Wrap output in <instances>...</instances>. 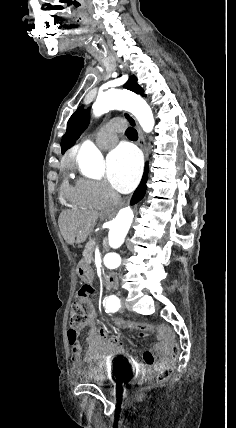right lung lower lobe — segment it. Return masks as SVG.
Wrapping results in <instances>:
<instances>
[{
  "instance_id": "right-lung-lower-lobe-1",
  "label": "right lung lower lobe",
  "mask_w": 236,
  "mask_h": 428,
  "mask_svg": "<svg viewBox=\"0 0 236 428\" xmlns=\"http://www.w3.org/2000/svg\"><path fill=\"white\" fill-rule=\"evenodd\" d=\"M147 173H148V167L146 165L142 181H141L140 185L138 186V188L136 189V191L134 192V195L132 197V200H131V204L132 205L135 204V203H137L138 201H140L144 197V195H145Z\"/></svg>"
}]
</instances>
